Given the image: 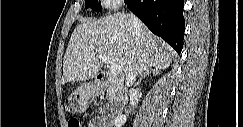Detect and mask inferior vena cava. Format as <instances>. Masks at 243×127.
Instances as JSON below:
<instances>
[{
    "label": "inferior vena cava",
    "mask_w": 243,
    "mask_h": 127,
    "mask_svg": "<svg viewBox=\"0 0 243 127\" xmlns=\"http://www.w3.org/2000/svg\"><path fill=\"white\" fill-rule=\"evenodd\" d=\"M133 25L135 28L139 27V21L136 17H133ZM138 73H139V66H138V64H135L133 72L132 71L129 72L128 75L126 76V85L128 87H130L134 84Z\"/></svg>",
    "instance_id": "inferior-vena-cava-1"
}]
</instances>
